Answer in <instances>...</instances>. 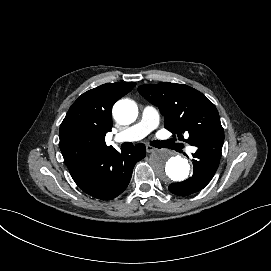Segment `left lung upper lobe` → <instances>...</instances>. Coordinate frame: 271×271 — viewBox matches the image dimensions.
Segmentation results:
<instances>
[{
  "mask_svg": "<svg viewBox=\"0 0 271 271\" xmlns=\"http://www.w3.org/2000/svg\"><path fill=\"white\" fill-rule=\"evenodd\" d=\"M139 93L159 107L165 116V127L193 146H201L209 152L221 155L224 130L215 105L201 92L184 84L159 82L141 85Z\"/></svg>",
  "mask_w": 271,
  "mask_h": 271,
  "instance_id": "obj_1",
  "label": "left lung upper lobe"
}]
</instances>
